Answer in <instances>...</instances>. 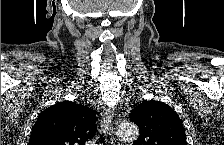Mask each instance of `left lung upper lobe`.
Segmentation results:
<instances>
[{
    "label": "left lung upper lobe",
    "instance_id": "5c2ea615",
    "mask_svg": "<svg viewBox=\"0 0 224 145\" xmlns=\"http://www.w3.org/2000/svg\"><path fill=\"white\" fill-rule=\"evenodd\" d=\"M130 120L137 124L140 131L135 145H187L180 118L163 102L142 101L133 109Z\"/></svg>",
    "mask_w": 224,
    "mask_h": 145
}]
</instances>
